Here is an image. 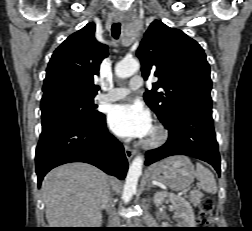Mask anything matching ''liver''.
<instances>
[{"label":"liver","mask_w":252,"mask_h":231,"mask_svg":"<svg viewBox=\"0 0 252 231\" xmlns=\"http://www.w3.org/2000/svg\"><path fill=\"white\" fill-rule=\"evenodd\" d=\"M107 176L94 166L69 163L50 171L41 191L50 228H98Z\"/></svg>","instance_id":"1"}]
</instances>
